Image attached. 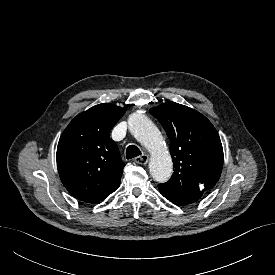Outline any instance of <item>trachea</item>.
Listing matches in <instances>:
<instances>
[{
  "label": "trachea",
  "mask_w": 275,
  "mask_h": 275,
  "mask_svg": "<svg viewBox=\"0 0 275 275\" xmlns=\"http://www.w3.org/2000/svg\"><path fill=\"white\" fill-rule=\"evenodd\" d=\"M141 155V151L139 148L135 145H129L126 149V158L127 159H132L134 157H137Z\"/></svg>",
  "instance_id": "3493384b"
}]
</instances>
